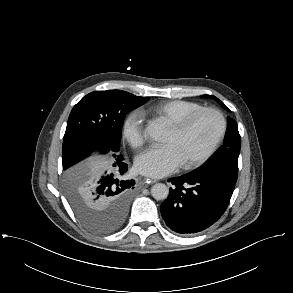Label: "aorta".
Listing matches in <instances>:
<instances>
[{"label": "aorta", "instance_id": "762f6f07", "mask_svg": "<svg viewBox=\"0 0 293 293\" xmlns=\"http://www.w3.org/2000/svg\"><path fill=\"white\" fill-rule=\"evenodd\" d=\"M166 128L164 124L159 121L155 120L150 122L145 129L146 135H148L151 139L155 141H161L165 135ZM169 189L163 183H156L151 188V195L156 200H164L168 197Z\"/></svg>", "mask_w": 293, "mask_h": 293}]
</instances>
